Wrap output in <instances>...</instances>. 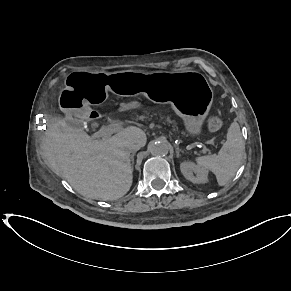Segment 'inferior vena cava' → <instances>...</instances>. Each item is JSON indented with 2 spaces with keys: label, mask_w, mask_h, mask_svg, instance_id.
<instances>
[{
  "label": "inferior vena cava",
  "mask_w": 291,
  "mask_h": 291,
  "mask_svg": "<svg viewBox=\"0 0 291 291\" xmlns=\"http://www.w3.org/2000/svg\"><path fill=\"white\" fill-rule=\"evenodd\" d=\"M141 148V145L135 142H128L124 145V150L127 153L136 152Z\"/></svg>",
  "instance_id": "inferior-vena-cava-1"
}]
</instances>
